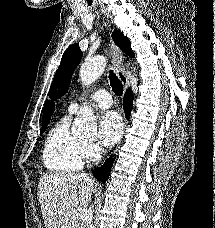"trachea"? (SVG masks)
Here are the masks:
<instances>
[{
  "mask_svg": "<svg viewBox=\"0 0 215 228\" xmlns=\"http://www.w3.org/2000/svg\"><path fill=\"white\" fill-rule=\"evenodd\" d=\"M109 80H110V86L117 96H121L123 93V85L119 78L116 76V74L113 72V70L109 71Z\"/></svg>",
  "mask_w": 215,
  "mask_h": 228,
  "instance_id": "1",
  "label": "trachea"
}]
</instances>
